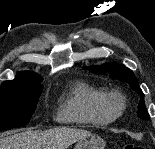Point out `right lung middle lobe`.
Returning <instances> with one entry per match:
<instances>
[{
    "mask_svg": "<svg viewBox=\"0 0 155 149\" xmlns=\"http://www.w3.org/2000/svg\"><path fill=\"white\" fill-rule=\"evenodd\" d=\"M42 79L4 82L0 87V131L26 125L43 89Z\"/></svg>",
    "mask_w": 155,
    "mask_h": 149,
    "instance_id": "dd1d6c3e",
    "label": "right lung middle lobe"
}]
</instances>
